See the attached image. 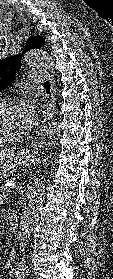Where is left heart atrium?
I'll list each match as a JSON object with an SVG mask.
<instances>
[{"mask_svg":"<svg viewBox=\"0 0 113 279\" xmlns=\"http://www.w3.org/2000/svg\"><path fill=\"white\" fill-rule=\"evenodd\" d=\"M23 114L28 130L34 128L38 124L40 119V112L36 102L27 101L23 105Z\"/></svg>","mask_w":113,"mask_h":279,"instance_id":"1","label":"left heart atrium"}]
</instances>
